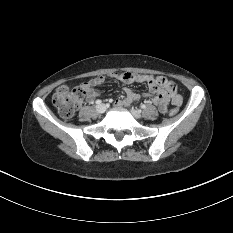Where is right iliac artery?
I'll list each match as a JSON object with an SVG mask.
<instances>
[{"label":"right iliac artery","instance_id":"obj_1","mask_svg":"<svg viewBox=\"0 0 233 233\" xmlns=\"http://www.w3.org/2000/svg\"><path fill=\"white\" fill-rule=\"evenodd\" d=\"M101 103H102L101 100H97V101H96V104H98V105L101 104Z\"/></svg>","mask_w":233,"mask_h":233}]
</instances>
